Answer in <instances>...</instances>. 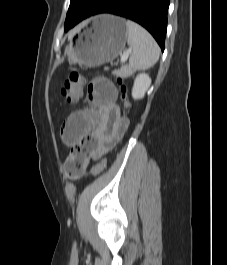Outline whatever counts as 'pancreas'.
Instances as JSON below:
<instances>
[{
    "mask_svg": "<svg viewBox=\"0 0 227 265\" xmlns=\"http://www.w3.org/2000/svg\"><path fill=\"white\" fill-rule=\"evenodd\" d=\"M113 74L122 78H127L132 74V71L130 68L124 65L120 69L115 70Z\"/></svg>",
    "mask_w": 227,
    "mask_h": 265,
    "instance_id": "obj_1",
    "label": "pancreas"
}]
</instances>
